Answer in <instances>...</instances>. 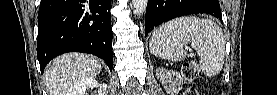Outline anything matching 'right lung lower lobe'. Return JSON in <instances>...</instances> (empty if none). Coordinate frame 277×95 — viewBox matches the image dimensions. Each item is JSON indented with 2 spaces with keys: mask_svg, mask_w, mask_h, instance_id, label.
I'll use <instances>...</instances> for the list:
<instances>
[{
  "mask_svg": "<svg viewBox=\"0 0 277 95\" xmlns=\"http://www.w3.org/2000/svg\"><path fill=\"white\" fill-rule=\"evenodd\" d=\"M110 0H41L37 57L41 72L66 52L90 53L112 71Z\"/></svg>",
  "mask_w": 277,
  "mask_h": 95,
  "instance_id": "98d812e1",
  "label": "right lung lower lobe"
}]
</instances>
